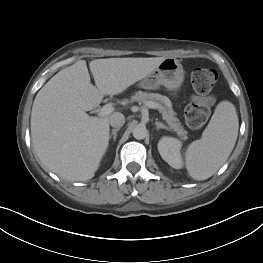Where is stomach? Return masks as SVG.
Here are the masks:
<instances>
[{"mask_svg": "<svg viewBox=\"0 0 263 263\" xmlns=\"http://www.w3.org/2000/svg\"><path fill=\"white\" fill-rule=\"evenodd\" d=\"M183 81L184 70L182 64L173 57H167L151 74L141 80L139 86L149 90L164 86L170 91H177Z\"/></svg>", "mask_w": 263, "mask_h": 263, "instance_id": "obj_1", "label": "stomach"}]
</instances>
